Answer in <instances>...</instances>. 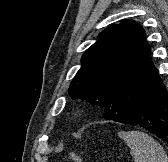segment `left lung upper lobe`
Segmentation results:
<instances>
[{"mask_svg": "<svg viewBox=\"0 0 168 162\" xmlns=\"http://www.w3.org/2000/svg\"><path fill=\"white\" fill-rule=\"evenodd\" d=\"M149 55L144 29L131 19L121 20L101 32L83 54L69 95L105 108L115 88L129 79Z\"/></svg>", "mask_w": 168, "mask_h": 162, "instance_id": "1", "label": "left lung upper lobe"}]
</instances>
